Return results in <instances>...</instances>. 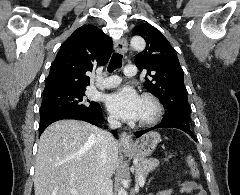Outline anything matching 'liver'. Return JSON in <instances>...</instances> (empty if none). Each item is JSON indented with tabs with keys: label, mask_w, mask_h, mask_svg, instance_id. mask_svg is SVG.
I'll use <instances>...</instances> for the list:
<instances>
[{
	"label": "liver",
	"mask_w": 240,
	"mask_h": 195,
	"mask_svg": "<svg viewBox=\"0 0 240 195\" xmlns=\"http://www.w3.org/2000/svg\"><path fill=\"white\" fill-rule=\"evenodd\" d=\"M100 131L78 119H60L46 127L36 155L35 195H95ZM120 149L118 141L108 145L104 169L110 177L118 167Z\"/></svg>",
	"instance_id": "liver-1"
}]
</instances>
